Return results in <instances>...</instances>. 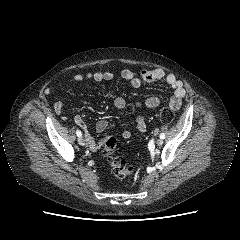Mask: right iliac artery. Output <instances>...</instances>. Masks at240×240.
<instances>
[{"mask_svg":"<svg viewBox=\"0 0 240 240\" xmlns=\"http://www.w3.org/2000/svg\"><path fill=\"white\" fill-rule=\"evenodd\" d=\"M76 134H77L78 137H81V136H82V133H81L80 130H77V131H76Z\"/></svg>","mask_w":240,"mask_h":240,"instance_id":"right-iliac-artery-1","label":"right iliac artery"}]
</instances>
